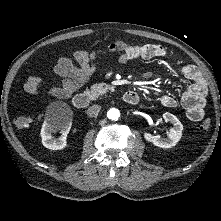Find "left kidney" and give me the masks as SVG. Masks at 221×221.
Masks as SVG:
<instances>
[{
	"label": "left kidney",
	"mask_w": 221,
	"mask_h": 221,
	"mask_svg": "<svg viewBox=\"0 0 221 221\" xmlns=\"http://www.w3.org/2000/svg\"><path fill=\"white\" fill-rule=\"evenodd\" d=\"M163 119L166 122H170L173 124V128L170 129V133L167 138H162L161 136H153L150 133H144V138L148 141L154 144L155 146L161 147V148H171L175 146L178 141L182 137V131H183V125L179 121V119L169 113L166 112L163 114Z\"/></svg>",
	"instance_id": "1"
}]
</instances>
